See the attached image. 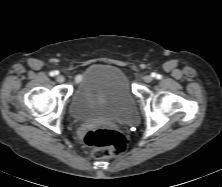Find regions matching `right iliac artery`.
<instances>
[{"instance_id": "right-iliac-artery-1", "label": "right iliac artery", "mask_w": 222, "mask_h": 187, "mask_svg": "<svg viewBox=\"0 0 222 187\" xmlns=\"http://www.w3.org/2000/svg\"><path fill=\"white\" fill-rule=\"evenodd\" d=\"M58 74V71H52V72H50V76H55V75H57Z\"/></svg>"}]
</instances>
